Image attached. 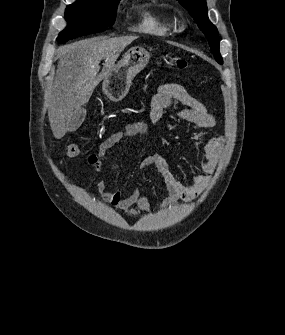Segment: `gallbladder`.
I'll return each mask as SVG.
<instances>
[{"instance_id": "1", "label": "gallbladder", "mask_w": 285, "mask_h": 335, "mask_svg": "<svg viewBox=\"0 0 285 335\" xmlns=\"http://www.w3.org/2000/svg\"><path fill=\"white\" fill-rule=\"evenodd\" d=\"M85 118H86V110H84V108H80V110H75V114H73L69 122L68 126L69 132H75V130H78L81 124H83Z\"/></svg>"}]
</instances>
